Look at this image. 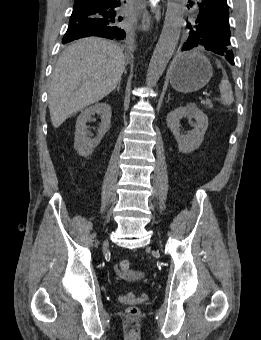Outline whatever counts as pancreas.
<instances>
[{"mask_svg": "<svg viewBox=\"0 0 261 340\" xmlns=\"http://www.w3.org/2000/svg\"><path fill=\"white\" fill-rule=\"evenodd\" d=\"M203 103L207 106V108L213 107V104H212L211 100H209V99L205 100Z\"/></svg>", "mask_w": 261, "mask_h": 340, "instance_id": "1", "label": "pancreas"}]
</instances>
